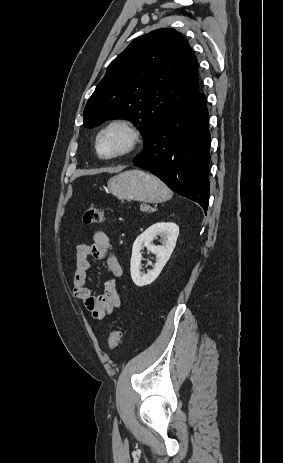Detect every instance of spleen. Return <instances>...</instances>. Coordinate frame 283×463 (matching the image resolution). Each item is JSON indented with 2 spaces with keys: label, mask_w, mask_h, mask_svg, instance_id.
I'll return each instance as SVG.
<instances>
[{
  "label": "spleen",
  "mask_w": 283,
  "mask_h": 463,
  "mask_svg": "<svg viewBox=\"0 0 283 463\" xmlns=\"http://www.w3.org/2000/svg\"><path fill=\"white\" fill-rule=\"evenodd\" d=\"M166 187H167V186H166ZM167 189H168V187H167ZM169 191H170V190H169ZM171 196H172V192L170 191V197H171ZM170 197H169V198H170Z\"/></svg>",
  "instance_id": "1"
}]
</instances>
